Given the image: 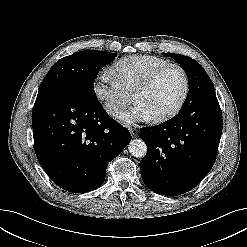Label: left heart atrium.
<instances>
[{
	"label": "left heart atrium",
	"mask_w": 247,
	"mask_h": 247,
	"mask_svg": "<svg viewBox=\"0 0 247 247\" xmlns=\"http://www.w3.org/2000/svg\"><path fill=\"white\" fill-rule=\"evenodd\" d=\"M153 118L151 113L140 103H136L130 111L124 112L119 116V119L126 124L150 121Z\"/></svg>",
	"instance_id": "39dd6f15"
}]
</instances>
